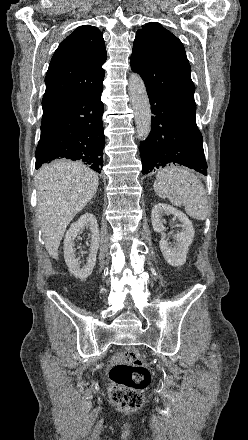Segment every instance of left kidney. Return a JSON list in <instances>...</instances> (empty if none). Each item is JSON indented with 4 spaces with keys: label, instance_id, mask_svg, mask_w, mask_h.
<instances>
[{
    "label": "left kidney",
    "instance_id": "5707ae66",
    "mask_svg": "<svg viewBox=\"0 0 248 440\" xmlns=\"http://www.w3.org/2000/svg\"><path fill=\"white\" fill-rule=\"evenodd\" d=\"M164 214H172L181 222L182 231L175 234L176 244L174 247H171L166 239L164 232L165 227L162 222ZM151 221L153 229L161 233L160 249L164 259L167 263L175 267L183 265L186 262L188 249L195 234L192 222L182 211L164 203L154 205L152 208Z\"/></svg>",
    "mask_w": 248,
    "mask_h": 440
}]
</instances>
